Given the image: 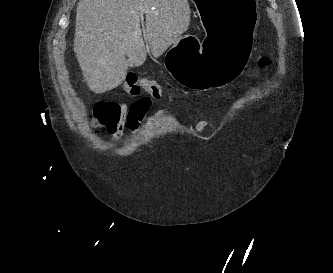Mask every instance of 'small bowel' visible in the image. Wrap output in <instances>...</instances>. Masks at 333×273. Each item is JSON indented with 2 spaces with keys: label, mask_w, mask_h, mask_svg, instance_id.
Instances as JSON below:
<instances>
[{
  "label": "small bowel",
  "mask_w": 333,
  "mask_h": 273,
  "mask_svg": "<svg viewBox=\"0 0 333 273\" xmlns=\"http://www.w3.org/2000/svg\"><path fill=\"white\" fill-rule=\"evenodd\" d=\"M153 102L152 96H140L138 101H135L130 106L126 104H120L121 123L111 131L112 141L117 142L122 135L124 126H126L132 132L138 131L144 117L149 109L150 103ZM165 110L156 111L151 117L147 119V124L151 125L155 120H162L165 114ZM209 123L206 120L196 119L195 127L198 132H202Z\"/></svg>",
  "instance_id": "c3829d8e"
}]
</instances>
